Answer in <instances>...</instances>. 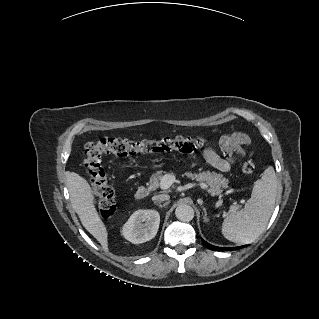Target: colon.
<instances>
[{
	"label": "colon",
	"mask_w": 319,
	"mask_h": 319,
	"mask_svg": "<svg viewBox=\"0 0 319 319\" xmlns=\"http://www.w3.org/2000/svg\"><path fill=\"white\" fill-rule=\"evenodd\" d=\"M206 145L207 140L200 137L144 141H129L121 138L105 137L96 142L88 143L85 146L82 167L90 181L95 202L101 216L107 218L115 209L114 190L108 182L102 164L104 157H128L141 153L168 152L192 154ZM255 170V165L250 161L242 164V171L245 174H252Z\"/></svg>",
	"instance_id": "1"
}]
</instances>
